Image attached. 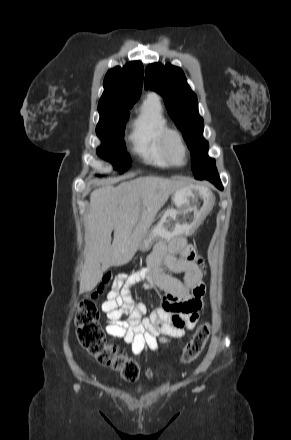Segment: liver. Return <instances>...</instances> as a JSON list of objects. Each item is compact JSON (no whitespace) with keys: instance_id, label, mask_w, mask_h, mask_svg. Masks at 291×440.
I'll return each instance as SVG.
<instances>
[{"instance_id":"obj_1","label":"liver","mask_w":291,"mask_h":440,"mask_svg":"<svg viewBox=\"0 0 291 440\" xmlns=\"http://www.w3.org/2000/svg\"><path fill=\"white\" fill-rule=\"evenodd\" d=\"M182 185L181 181L146 176L124 181L116 187H100L90 194L80 291L93 290L104 271L132 259L148 235L157 212Z\"/></svg>"}]
</instances>
